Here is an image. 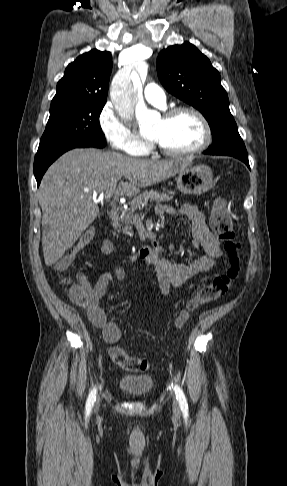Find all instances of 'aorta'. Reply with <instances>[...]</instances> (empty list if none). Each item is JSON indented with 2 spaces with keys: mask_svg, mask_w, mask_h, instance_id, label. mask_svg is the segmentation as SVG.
I'll list each match as a JSON object with an SVG mask.
<instances>
[{
  "mask_svg": "<svg viewBox=\"0 0 287 486\" xmlns=\"http://www.w3.org/2000/svg\"><path fill=\"white\" fill-rule=\"evenodd\" d=\"M147 65L143 63L142 70L147 73ZM142 83L136 71L120 72L111 84L110 96L119 115L131 120L136 117L141 128H150L152 114L146 108L141 99Z\"/></svg>",
  "mask_w": 287,
  "mask_h": 486,
  "instance_id": "762f6f07",
  "label": "aorta"
}]
</instances>
